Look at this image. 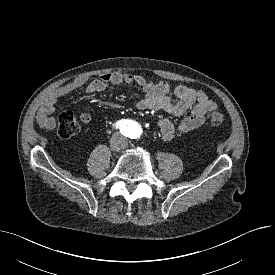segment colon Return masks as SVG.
Instances as JSON below:
<instances>
[{
    "label": "colon",
    "mask_w": 275,
    "mask_h": 275,
    "mask_svg": "<svg viewBox=\"0 0 275 275\" xmlns=\"http://www.w3.org/2000/svg\"><path fill=\"white\" fill-rule=\"evenodd\" d=\"M208 123L218 126L225 122V115L220 110H213L207 114ZM80 130L78 122L71 113H63L58 118L57 133L61 138L68 139L75 136Z\"/></svg>",
    "instance_id": "colon-1"
}]
</instances>
